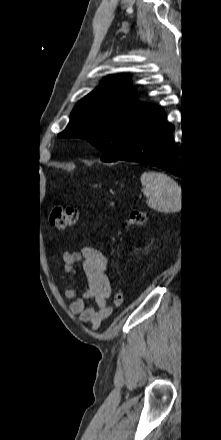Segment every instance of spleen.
I'll list each match as a JSON object with an SVG mask.
<instances>
[{
    "label": "spleen",
    "mask_w": 221,
    "mask_h": 440,
    "mask_svg": "<svg viewBox=\"0 0 221 440\" xmlns=\"http://www.w3.org/2000/svg\"><path fill=\"white\" fill-rule=\"evenodd\" d=\"M147 205L159 212H175L181 204V187L170 176L155 171L141 175Z\"/></svg>",
    "instance_id": "obj_1"
}]
</instances>
